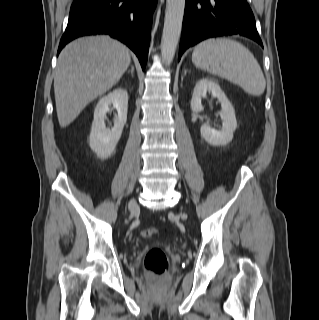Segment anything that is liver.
<instances>
[{
    "label": "liver",
    "instance_id": "liver-1",
    "mask_svg": "<svg viewBox=\"0 0 319 320\" xmlns=\"http://www.w3.org/2000/svg\"><path fill=\"white\" fill-rule=\"evenodd\" d=\"M129 49L107 35L69 43L58 57L54 93L59 125H70L94 99L110 90L130 65Z\"/></svg>",
    "mask_w": 319,
    "mask_h": 320
}]
</instances>
